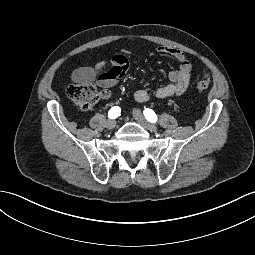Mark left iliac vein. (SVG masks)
Returning <instances> with one entry per match:
<instances>
[{
	"mask_svg": "<svg viewBox=\"0 0 255 255\" xmlns=\"http://www.w3.org/2000/svg\"><path fill=\"white\" fill-rule=\"evenodd\" d=\"M133 116L135 118V120L146 130L151 131V132H156L157 131V127L151 123H149L144 116L142 115V113L138 110V109H134L133 110Z\"/></svg>",
	"mask_w": 255,
	"mask_h": 255,
	"instance_id": "left-iliac-vein-1",
	"label": "left iliac vein"
}]
</instances>
